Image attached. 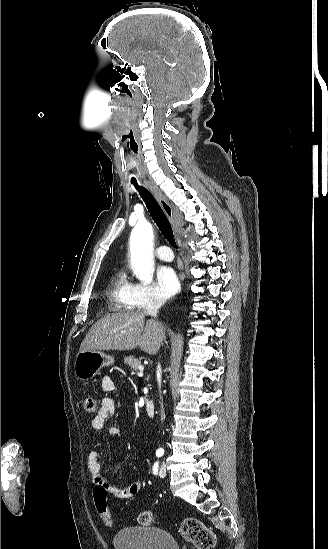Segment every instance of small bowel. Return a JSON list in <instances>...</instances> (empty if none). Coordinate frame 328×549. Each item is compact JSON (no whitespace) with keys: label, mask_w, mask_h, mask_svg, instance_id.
I'll return each mask as SVG.
<instances>
[{"label":"small bowel","mask_w":328,"mask_h":549,"mask_svg":"<svg viewBox=\"0 0 328 549\" xmlns=\"http://www.w3.org/2000/svg\"><path fill=\"white\" fill-rule=\"evenodd\" d=\"M102 389L111 393L115 389V383L109 376L103 377L101 381ZM116 404L113 398L105 397L102 399L101 406L97 411V414L91 421V427L94 431L100 432L108 418L114 415ZM105 434L118 440L121 435V430L118 426H110L106 429ZM87 473L92 479L93 483H102L108 492L120 499H130L137 495L140 491L141 483L139 481L133 482L125 488H118L105 482L101 475V464L99 462V452L97 449H92L88 453L86 462Z\"/></svg>","instance_id":"small-bowel-1"}]
</instances>
